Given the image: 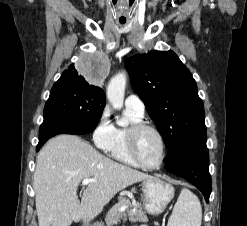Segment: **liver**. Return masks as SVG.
I'll return each mask as SVG.
<instances>
[{
  "label": "liver",
  "instance_id": "liver-1",
  "mask_svg": "<svg viewBox=\"0 0 247 226\" xmlns=\"http://www.w3.org/2000/svg\"><path fill=\"white\" fill-rule=\"evenodd\" d=\"M152 178L105 157L74 135L49 140L37 156L33 178L39 226H70L73 221L89 222L126 187ZM84 179H95L83 191Z\"/></svg>",
  "mask_w": 247,
  "mask_h": 226
}]
</instances>
